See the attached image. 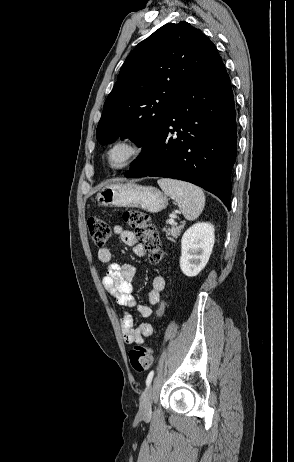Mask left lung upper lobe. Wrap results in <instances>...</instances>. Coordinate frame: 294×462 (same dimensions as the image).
<instances>
[{"mask_svg": "<svg viewBox=\"0 0 294 462\" xmlns=\"http://www.w3.org/2000/svg\"><path fill=\"white\" fill-rule=\"evenodd\" d=\"M221 60L199 29L184 21L165 24L126 58L106 99L97 140L107 144L132 136L139 147L152 142L180 94Z\"/></svg>", "mask_w": 294, "mask_h": 462, "instance_id": "obj_1", "label": "left lung upper lobe"}]
</instances>
